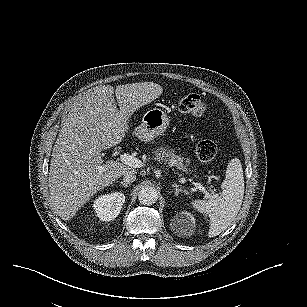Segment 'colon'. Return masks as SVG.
Masks as SVG:
<instances>
[{
    "label": "colon",
    "mask_w": 307,
    "mask_h": 307,
    "mask_svg": "<svg viewBox=\"0 0 307 307\" xmlns=\"http://www.w3.org/2000/svg\"><path fill=\"white\" fill-rule=\"evenodd\" d=\"M177 105L179 111L195 117L202 116L206 108L204 100L196 93H188L182 96ZM216 152V144L211 140L200 141L195 149L196 156L201 162L211 161Z\"/></svg>",
    "instance_id": "obj_1"
}]
</instances>
